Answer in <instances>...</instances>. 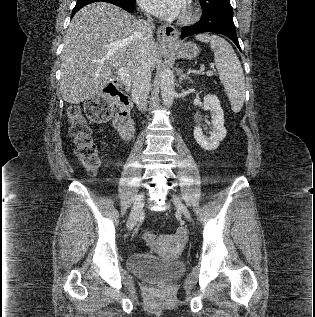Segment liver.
I'll use <instances>...</instances> for the list:
<instances>
[{
  "label": "liver",
  "instance_id": "6515ba94",
  "mask_svg": "<svg viewBox=\"0 0 315 317\" xmlns=\"http://www.w3.org/2000/svg\"><path fill=\"white\" fill-rule=\"evenodd\" d=\"M141 20L123 9L97 2L80 9L64 36L60 90L65 102L79 104L99 94L111 81L112 70L123 68L129 80L142 65ZM145 62L153 70L160 58L154 38Z\"/></svg>",
  "mask_w": 315,
  "mask_h": 317
}]
</instances>
